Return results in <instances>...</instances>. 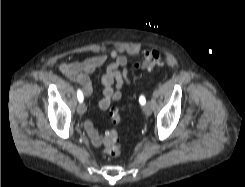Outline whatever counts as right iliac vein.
Here are the masks:
<instances>
[{
  "label": "right iliac vein",
  "mask_w": 245,
  "mask_h": 187,
  "mask_svg": "<svg viewBox=\"0 0 245 187\" xmlns=\"http://www.w3.org/2000/svg\"><path fill=\"white\" fill-rule=\"evenodd\" d=\"M86 111V106L84 103H80L78 106H77V112L79 115H83Z\"/></svg>",
  "instance_id": "right-iliac-vein-1"
}]
</instances>
